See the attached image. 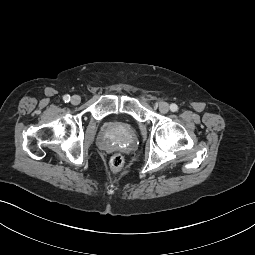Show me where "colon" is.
<instances>
[{
	"mask_svg": "<svg viewBox=\"0 0 255 255\" xmlns=\"http://www.w3.org/2000/svg\"><path fill=\"white\" fill-rule=\"evenodd\" d=\"M125 164L124 157L120 154H113L109 160V167L111 171L117 173L120 172Z\"/></svg>",
	"mask_w": 255,
	"mask_h": 255,
	"instance_id": "1",
	"label": "colon"
}]
</instances>
